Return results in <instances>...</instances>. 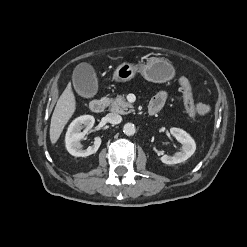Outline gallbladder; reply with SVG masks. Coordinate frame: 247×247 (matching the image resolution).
Returning a JSON list of instances; mask_svg holds the SVG:
<instances>
[{"label": "gallbladder", "mask_w": 247, "mask_h": 247, "mask_svg": "<svg viewBox=\"0 0 247 247\" xmlns=\"http://www.w3.org/2000/svg\"><path fill=\"white\" fill-rule=\"evenodd\" d=\"M73 84L79 95L93 97L98 90V82L93 67L88 63L78 64L73 72Z\"/></svg>", "instance_id": "gallbladder-1"}]
</instances>
